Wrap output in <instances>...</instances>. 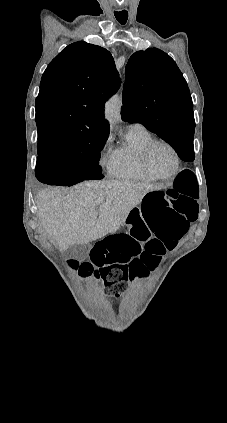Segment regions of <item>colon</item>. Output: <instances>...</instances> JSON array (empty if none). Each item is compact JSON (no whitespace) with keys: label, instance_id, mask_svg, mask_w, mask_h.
I'll return each mask as SVG.
<instances>
[{"label":"colon","instance_id":"5ec220e1","mask_svg":"<svg viewBox=\"0 0 227 423\" xmlns=\"http://www.w3.org/2000/svg\"><path fill=\"white\" fill-rule=\"evenodd\" d=\"M199 191L194 175L182 171L172 187L148 192L142 218L148 229L135 221L129 233L98 241L88 262L73 261L83 276L95 275L109 292L121 294L129 280L154 269L166 250L172 249L198 216Z\"/></svg>","mask_w":227,"mask_h":423}]
</instances>
